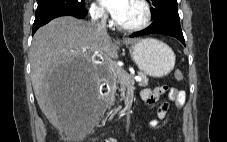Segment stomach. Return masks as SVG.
I'll return each instance as SVG.
<instances>
[{
  "label": "stomach",
  "mask_w": 227,
  "mask_h": 142,
  "mask_svg": "<svg viewBox=\"0 0 227 142\" xmlns=\"http://www.w3.org/2000/svg\"><path fill=\"white\" fill-rule=\"evenodd\" d=\"M129 50L138 68L151 77H164L174 68L173 50L159 40L153 38L139 40L132 44Z\"/></svg>",
  "instance_id": "1"
}]
</instances>
